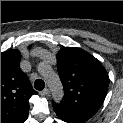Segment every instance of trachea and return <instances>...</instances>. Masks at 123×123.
<instances>
[{"label": "trachea", "mask_w": 123, "mask_h": 123, "mask_svg": "<svg viewBox=\"0 0 123 123\" xmlns=\"http://www.w3.org/2000/svg\"><path fill=\"white\" fill-rule=\"evenodd\" d=\"M34 87L36 90L42 91L45 87V82L42 79H37L34 82Z\"/></svg>", "instance_id": "obj_1"}]
</instances>
